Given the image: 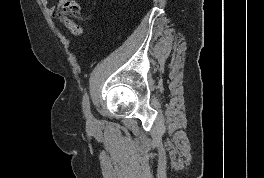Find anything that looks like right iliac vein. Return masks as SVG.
I'll return each mask as SVG.
<instances>
[{
	"label": "right iliac vein",
	"instance_id": "right-iliac-vein-1",
	"mask_svg": "<svg viewBox=\"0 0 264 178\" xmlns=\"http://www.w3.org/2000/svg\"><path fill=\"white\" fill-rule=\"evenodd\" d=\"M88 122H89L90 124H92V117H90V118L88 119Z\"/></svg>",
	"mask_w": 264,
	"mask_h": 178
}]
</instances>
